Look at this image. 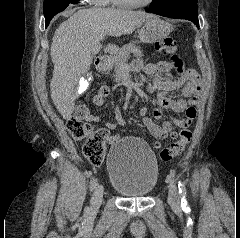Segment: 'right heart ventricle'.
Instances as JSON below:
<instances>
[{
	"mask_svg": "<svg viewBox=\"0 0 240 238\" xmlns=\"http://www.w3.org/2000/svg\"><path fill=\"white\" fill-rule=\"evenodd\" d=\"M114 3L113 0H108L106 4Z\"/></svg>",
	"mask_w": 240,
	"mask_h": 238,
	"instance_id": "right-heart-ventricle-1",
	"label": "right heart ventricle"
}]
</instances>
